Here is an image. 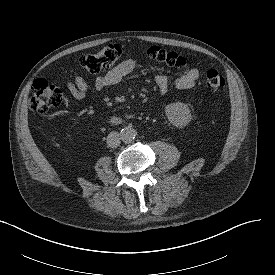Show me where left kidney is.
Masks as SVG:
<instances>
[{"instance_id":"1","label":"left kidney","mask_w":275,"mask_h":275,"mask_svg":"<svg viewBox=\"0 0 275 275\" xmlns=\"http://www.w3.org/2000/svg\"><path fill=\"white\" fill-rule=\"evenodd\" d=\"M165 112L170 123L179 128L185 127L192 118L187 105L181 102L167 105Z\"/></svg>"}]
</instances>
